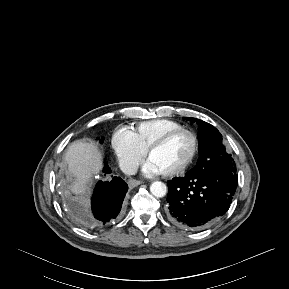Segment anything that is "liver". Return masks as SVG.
Segmentation results:
<instances>
[{"instance_id": "obj_1", "label": "liver", "mask_w": 289, "mask_h": 289, "mask_svg": "<svg viewBox=\"0 0 289 289\" xmlns=\"http://www.w3.org/2000/svg\"><path fill=\"white\" fill-rule=\"evenodd\" d=\"M66 162L74 176L71 190L75 194L89 192L93 177L101 169V154L92 143L74 142L66 152Z\"/></svg>"}]
</instances>
